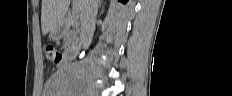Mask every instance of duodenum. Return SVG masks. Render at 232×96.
Returning <instances> with one entry per match:
<instances>
[{"mask_svg":"<svg viewBox=\"0 0 232 96\" xmlns=\"http://www.w3.org/2000/svg\"><path fill=\"white\" fill-rule=\"evenodd\" d=\"M76 54H77L76 50H69L65 53V59L68 62H72L73 60H75Z\"/></svg>","mask_w":232,"mask_h":96,"instance_id":"1","label":"duodenum"}]
</instances>
